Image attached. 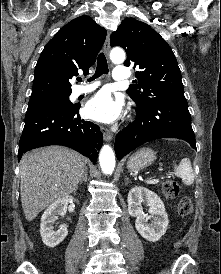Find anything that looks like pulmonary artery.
<instances>
[{"label":"pulmonary artery","instance_id":"1","mask_svg":"<svg viewBox=\"0 0 221 274\" xmlns=\"http://www.w3.org/2000/svg\"><path fill=\"white\" fill-rule=\"evenodd\" d=\"M113 78L116 81H126L130 78L129 70L126 67L118 66L113 71ZM99 83L94 82L86 86H79L75 89L74 95L79 96L94 91L98 87Z\"/></svg>","mask_w":221,"mask_h":274}]
</instances>
